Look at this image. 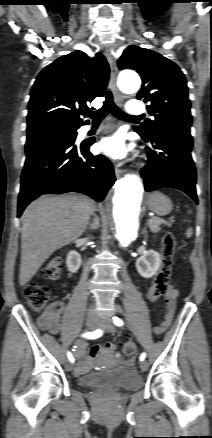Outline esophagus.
Instances as JSON below:
<instances>
[{
  "label": "esophagus",
  "mask_w": 212,
  "mask_h": 438,
  "mask_svg": "<svg viewBox=\"0 0 212 438\" xmlns=\"http://www.w3.org/2000/svg\"><path fill=\"white\" fill-rule=\"evenodd\" d=\"M104 54H105V57L109 63V66H110V83H111V88H112V91L114 94L115 102L117 104H121L123 97H122V95L119 92L118 87H117V66H116L115 61L113 59V56L108 48L105 49ZM122 172L123 171L120 168H118L117 166L115 167V176L117 178H119L121 176Z\"/></svg>",
  "instance_id": "obj_1"
}]
</instances>
